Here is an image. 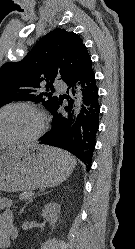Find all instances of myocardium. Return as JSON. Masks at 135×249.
<instances>
[{
    "label": "myocardium",
    "instance_id": "myocardium-1",
    "mask_svg": "<svg viewBox=\"0 0 135 249\" xmlns=\"http://www.w3.org/2000/svg\"><path fill=\"white\" fill-rule=\"evenodd\" d=\"M10 108H22L34 113L38 119V129L32 136L25 138H11L6 140H0V144H30L39 140L46 129V117L44 112L39 107L31 103L11 102L1 106L0 113Z\"/></svg>",
    "mask_w": 135,
    "mask_h": 249
}]
</instances>
